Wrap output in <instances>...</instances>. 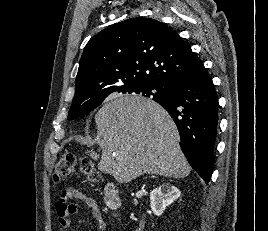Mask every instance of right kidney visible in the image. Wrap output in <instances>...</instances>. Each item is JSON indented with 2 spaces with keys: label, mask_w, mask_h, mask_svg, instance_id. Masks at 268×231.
<instances>
[{
  "label": "right kidney",
  "mask_w": 268,
  "mask_h": 231,
  "mask_svg": "<svg viewBox=\"0 0 268 231\" xmlns=\"http://www.w3.org/2000/svg\"><path fill=\"white\" fill-rule=\"evenodd\" d=\"M180 196V190L164 183L153 189L150 193V206L153 213L157 216L162 215L167 206L171 205Z\"/></svg>",
  "instance_id": "ca27d5eb"
}]
</instances>
